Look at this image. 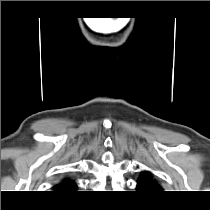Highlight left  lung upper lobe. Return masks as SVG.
<instances>
[{
    "mask_svg": "<svg viewBox=\"0 0 210 210\" xmlns=\"http://www.w3.org/2000/svg\"><path fill=\"white\" fill-rule=\"evenodd\" d=\"M137 189L147 194H157L162 191L160 184L153 178L149 171L141 172L137 182Z\"/></svg>",
    "mask_w": 210,
    "mask_h": 210,
    "instance_id": "1",
    "label": "left lung upper lobe"
}]
</instances>
